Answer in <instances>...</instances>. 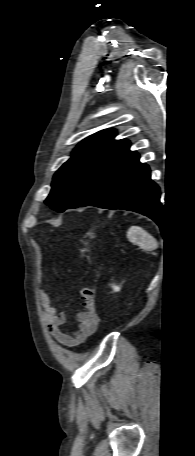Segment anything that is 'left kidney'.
I'll list each match as a JSON object with an SVG mask.
<instances>
[{"instance_id": "left-kidney-1", "label": "left kidney", "mask_w": 195, "mask_h": 456, "mask_svg": "<svg viewBox=\"0 0 195 456\" xmlns=\"http://www.w3.org/2000/svg\"><path fill=\"white\" fill-rule=\"evenodd\" d=\"M112 288H113V290H114L115 292L120 291V287H118V286H116V285H113Z\"/></svg>"}]
</instances>
